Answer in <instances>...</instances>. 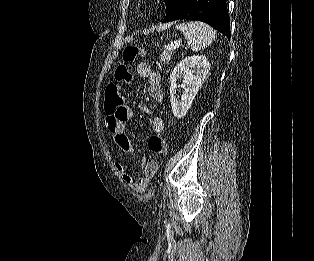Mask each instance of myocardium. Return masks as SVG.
Masks as SVG:
<instances>
[{
  "label": "myocardium",
  "instance_id": "f54148a6",
  "mask_svg": "<svg viewBox=\"0 0 314 261\" xmlns=\"http://www.w3.org/2000/svg\"><path fill=\"white\" fill-rule=\"evenodd\" d=\"M159 3V0H142V7L149 9L155 7Z\"/></svg>",
  "mask_w": 314,
  "mask_h": 261
}]
</instances>
